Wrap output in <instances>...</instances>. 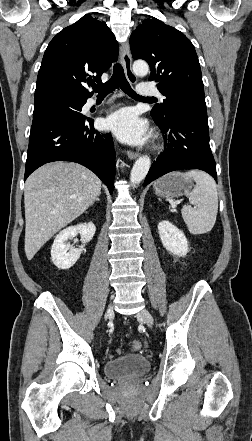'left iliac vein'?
<instances>
[{
  "label": "left iliac vein",
  "instance_id": "obj_1",
  "mask_svg": "<svg viewBox=\"0 0 252 441\" xmlns=\"http://www.w3.org/2000/svg\"><path fill=\"white\" fill-rule=\"evenodd\" d=\"M137 317L142 319L143 322L148 326V327H152L153 325V318L152 315L150 314V312L146 309H142L138 314Z\"/></svg>",
  "mask_w": 252,
  "mask_h": 441
}]
</instances>
